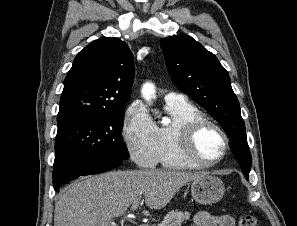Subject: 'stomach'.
<instances>
[{"label":"stomach","mask_w":297,"mask_h":226,"mask_svg":"<svg viewBox=\"0 0 297 226\" xmlns=\"http://www.w3.org/2000/svg\"><path fill=\"white\" fill-rule=\"evenodd\" d=\"M190 188L194 200L203 205L217 203L225 192L221 179L211 175L192 181Z\"/></svg>","instance_id":"0dacf381"}]
</instances>
